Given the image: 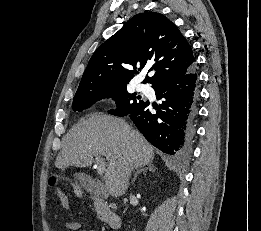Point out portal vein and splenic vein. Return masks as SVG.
Here are the masks:
<instances>
[{"label":"portal vein and splenic vein","instance_id":"1","mask_svg":"<svg viewBox=\"0 0 261 231\" xmlns=\"http://www.w3.org/2000/svg\"><path fill=\"white\" fill-rule=\"evenodd\" d=\"M96 163H97V171L99 174H102L106 168L105 160L100 156H96Z\"/></svg>","mask_w":261,"mask_h":231}]
</instances>
